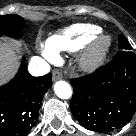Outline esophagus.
<instances>
[{
  "mask_svg": "<svg viewBox=\"0 0 136 136\" xmlns=\"http://www.w3.org/2000/svg\"><path fill=\"white\" fill-rule=\"evenodd\" d=\"M62 78L61 72L59 70H53L52 79L53 81H57Z\"/></svg>",
  "mask_w": 136,
  "mask_h": 136,
  "instance_id": "1",
  "label": "esophagus"
}]
</instances>
